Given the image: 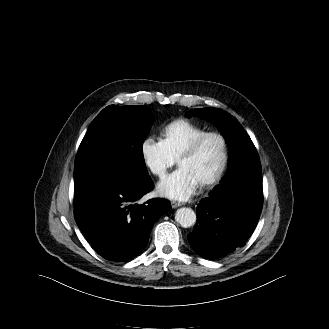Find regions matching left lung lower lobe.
<instances>
[{
	"mask_svg": "<svg viewBox=\"0 0 329 329\" xmlns=\"http://www.w3.org/2000/svg\"><path fill=\"white\" fill-rule=\"evenodd\" d=\"M221 187V197L209 196L197 206V223L188 235L193 250L212 260L242 247L257 225L263 202L260 162L238 167Z\"/></svg>",
	"mask_w": 329,
	"mask_h": 329,
	"instance_id": "obj_1",
	"label": "left lung lower lobe"
}]
</instances>
